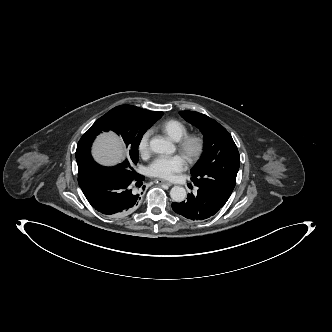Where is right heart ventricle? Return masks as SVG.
<instances>
[{"label": "right heart ventricle", "mask_w": 332, "mask_h": 332, "mask_svg": "<svg viewBox=\"0 0 332 332\" xmlns=\"http://www.w3.org/2000/svg\"><path fill=\"white\" fill-rule=\"evenodd\" d=\"M164 134H166L173 141L178 142L187 134V126L180 120L169 119L161 123L158 127Z\"/></svg>", "instance_id": "obj_1"}]
</instances>
